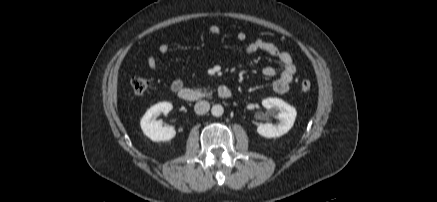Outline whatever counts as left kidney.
<instances>
[{"instance_id":"1","label":"left kidney","mask_w":437,"mask_h":202,"mask_svg":"<svg viewBox=\"0 0 437 202\" xmlns=\"http://www.w3.org/2000/svg\"><path fill=\"white\" fill-rule=\"evenodd\" d=\"M264 108L278 112L280 123L277 125L266 123L257 127L259 135L266 138L280 137L293 126L297 115L296 109L279 98H266L262 101Z\"/></svg>"}]
</instances>
